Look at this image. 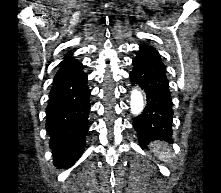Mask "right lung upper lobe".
Returning a JSON list of instances; mask_svg holds the SVG:
<instances>
[{
	"instance_id": "obj_1",
	"label": "right lung upper lobe",
	"mask_w": 221,
	"mask_h": 193,
	"mask_svg": "<svg viewBox=\"0 0 221 193\" xmlns=\"http://www.w3.org/2000/svg\"><path fill=\"white\" fill-rule=\"evenodd\" d=\"M82 64L72 56V52L63 58L57 74L65 73L80 67Z\"/></svg>"
}]
</instances>
